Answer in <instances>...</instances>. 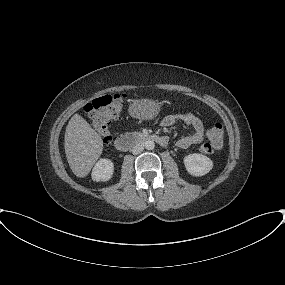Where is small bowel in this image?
I'll return each instance as SVG.
<instances>
[{
    "instance_id": "small-bowel-1",
    "label": "small bowel",
    "mask_w": 285,
    "mask_h": 285,
    "mask_svg": "<svg viewBox=\"0 0 285 285\" xmlns=\"http://www.w3.org/2000/svg\"><path fill=\"white\" fill-rule=\"evenodd\" d=\"M176 122H182L192 128L193 132L189 135L181 137L177 142V147L186 149L192 145L201 143L207 135L203 122L190 112H179L167 115L162 120L163 126H172Z\"/></svg>"
}]
</instances>
